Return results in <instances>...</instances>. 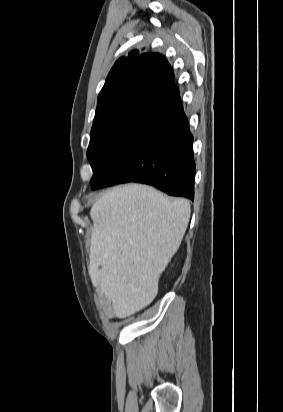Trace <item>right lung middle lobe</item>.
<instances>
[{
  "instance_id": "obj_1",
  "label": "right lung middle lobe",
  "mask_w": 283,
  "mask_h": 412,
  "mask_svg": "<svg viewBox=\"0 0 283 412\" xmlns=\"http://www.w3.org/2000/svg\"><path fill=\"white\" fill-rule=\"evenodd\" d=\"M156 111H126L94 121L87 157L93 170L90 184L110 166L163 114Z\"/></svg>"
}]
</instances>
